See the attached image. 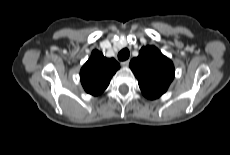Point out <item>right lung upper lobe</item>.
Returning <instances> with one entry per match:
<instances>
[{
	"instance_id": "right-lung-upper-lobe-1",
	"label": "right lung upper lobe",
	"mask_w": 230,
	"mask_h": 155,
	"mask_svg": "<svg viewBox=\"0 0 230 155\" xmlns=\"http://www.w3.org/2000/svg\"><path fill=\"white\" fill-rule=\"evenodd\" d=\"M119 68L120 65L114 58H106L101 52L94 50L80 71L84 90L93 96L100 95Z\"/></svg>"
}]
</instances>
